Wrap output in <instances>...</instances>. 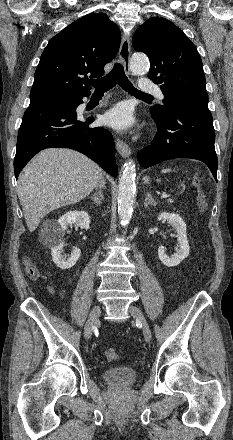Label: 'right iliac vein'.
<instances>
[{
	"label": "right iliac vein",
	"mask_w": 233,
	"mask_h": 440,
	"mask_svg": "<svg viewBox=\"0 0 233 440\" xmlns=\"http://www.w3.org/2000/svg\"><path fill=\"white\" fill-rule=\"evenodd\" d=\"M101 313V309L99 305H95L89 315V318L84 326V337L85 339H89L91 334H92V330H93V326L96 323L98 317L100 316Z\"/></svg>",
	"instance_id": "1"
}]
</instances>
